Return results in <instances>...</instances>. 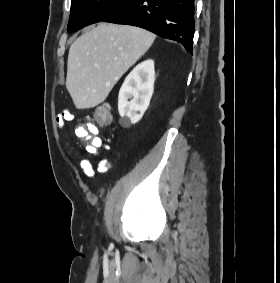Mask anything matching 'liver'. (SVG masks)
<instances>
[{
    "label": "liver",
    "instance_id": "liver-1",
    "mask_svg": "<svg viewBox=\"0 0 280 283\" xmlns=\"http://www.w3.org/2000/svg\"><path fill=\"white\" fill-rule=\"evenodd\" d=\"M155 38L139 27L99 23L75 40L68 54L66 88L76 108L89 109L104 102Z\"/></svg>",
    "mask_w": 280,
    "mask_h": 283
}]
</instances>
